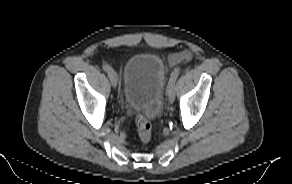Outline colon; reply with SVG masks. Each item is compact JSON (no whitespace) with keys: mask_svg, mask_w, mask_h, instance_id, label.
Returning a JSON list of instances; mask_svg holds the SVG:
<instances>
[{"mask_svg":"<svg viewBox=\"0 0 292 184\" xmlns=\"http://www.w3.org/2000/svg\"><path fill=\"white\" fill-rule=\"evenodd\" d=\"M136 125L139 139L142 142H148L152 136V125L150 121L142 114L136 115Z\"/></svg>","mask_w":292,"mask_h":184,"instance_id":"colon-1","label":"colon"}]
</instances>
